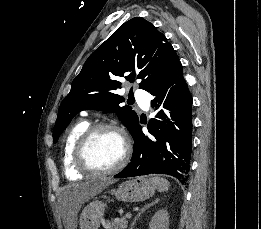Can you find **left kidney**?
I'll list each match as a JSON object with an SVG mask.
<instances>
[{
  "label": "left kidney",
  "mask_w": 261,
  "mask_h": 229,
  "mask_svg": "<svg viewBox=\"0 0 261 229\" xmlns=\"http://www.w3.org/2000/svg\"><path fill=\"white\" fill-rule=\"evenodd\" d=\"M168 225H169L168 211H165V209H161V211H157V213L153 215L149 223V229H168Z\"/></svg>",
  "instance_id": "left-kidney-1"
}]
</instances>
